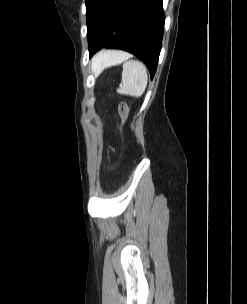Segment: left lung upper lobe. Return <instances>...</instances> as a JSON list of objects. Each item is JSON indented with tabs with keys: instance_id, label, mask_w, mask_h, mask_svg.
Here are the masks:
<instances>
[{
	"instance_id": "left-lung-upper-lobe-1",
	"label": "left lung upper lobe",
	"mask_w": 247,
	"mask_h": 304,
	"mask_svg": "<svg viewBox=\"0 0 247 304\" xmlns=\"http://www.w3.org/2000/svg\"><path fill=\"white\" fill-rule=\"evenodd\" d=\"M101 2L102 0H86L87 23L94 17Z\"/></svg>"
}]
</instances>
